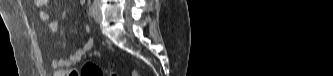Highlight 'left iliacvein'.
Segmentation results:
<instances>
[{
  "label": "left iliac vein",
  "instance_id": "4c4485c4",
  "mask_svg": "<svg viewBox=\"0 0 333 76\" xmlns=\"http://www.w3.org/2000/svg\"><path fill=\"white\" fill-rule=\"evenodd\" d=\"M94 19L98 23L101 22V20H102L101 11L99 10L98 7H97V9L95 10V13H94Z\"/></svg>",
  "mask_w": 333,
  "mask_h": 76
}]
</instances>
